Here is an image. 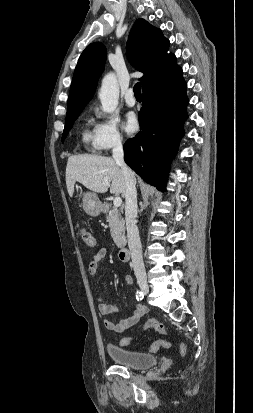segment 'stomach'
I'll return each instance as SVG.
<instances>
[{
  "label": "stomach",
  "instance_id": "0dacf381",
  "mask_svg": "<svg viewBox=\"0 0 253 413\" xmlns=\"http://www.w3.org/2000/svg\"><path fill=\"white\" fill-rule=\"evenodd\" d=\"M83 209L90 216H98L102 210V204L98 196L93 192L83 194Z\"/></svg>",
  "mask_w": 253,
  "mask_h": 413
}]
</instances>
